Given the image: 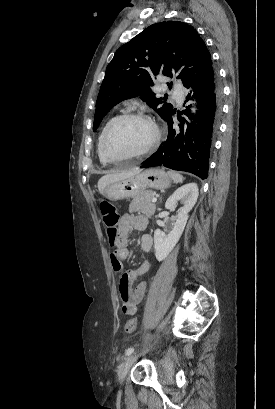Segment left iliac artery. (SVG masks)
Masks as SVG:
<instances>
[{
  "instance_id": "44dca946",
  "label": "left iliac artery",
  "mask_w": 275,
  "mask_h": 409,
  "mask_svg": "<svg viewBox=\"0 0 275 409\" xmlns=\"http://www.w3.org/2000/svg\"><path fill=\"white\" fill-rule=\"evenodd\" d=\"M134 352V348L130 347L125 351V357L131 355Z\"/></svg>"
}]
</instances>
